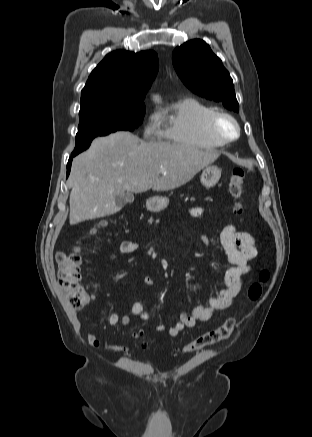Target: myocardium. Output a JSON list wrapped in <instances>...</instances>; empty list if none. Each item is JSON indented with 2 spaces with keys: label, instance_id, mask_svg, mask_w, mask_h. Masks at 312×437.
<instances>
[{
  "label": "myocardium",
  "instance_id": "f54148a6",
  "mask_svg": "<svg viewBox=\"0 0 312 437\" xmlns=\"http://www.w3.org/2000/svg\"><path fill=\"white\" fill-rule=\"evenodd\" d=\"M221 119H226L234 126V133L232 135H226L218 129V122ZM205 129L207 133L215 140L227 144L236 140L240 135V125L237 119L224 110H213L205 119Z\"/></svg>",
  "mask_w": 312,
  "mask_h": 437
}]
</instances>
